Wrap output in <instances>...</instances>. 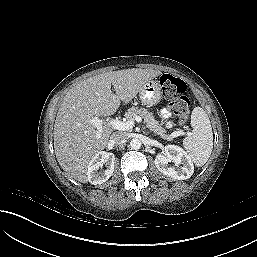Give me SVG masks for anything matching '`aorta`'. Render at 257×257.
<instances>
[{
  "mask_svg": "<svg viewBox=\"0 0 257 257\" xmlns=\"http://www.w3.org/2000/svg\"><path fill=\"white\" fill-rule=\"evenodd\" d=\"M141 145V141L137 138H134L130 141V147L134 150L140 149Z\"/></svg>",
  "mask_w": 257,
  "mask_h": 257,
  "instance_id": "aorta-1",
  "label": "aorta"
}]
</instances>
